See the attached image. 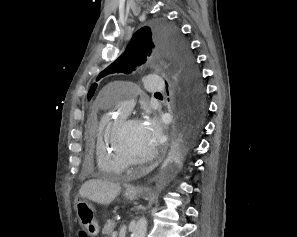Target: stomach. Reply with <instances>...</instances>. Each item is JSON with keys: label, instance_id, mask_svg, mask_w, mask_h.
<instances>
[{"label": "stomach", "instance_id": "0dacf381", "mask_svg": "<svg viewBox=\"0 0 297 237\" xmlns=\"http://www.w3.org/2000/svg\"><path fill=\"white\" fill-rule=\"evenodd\" d=\"M142 194L143 191L139 188H129L124 195L128 200L133 201L141 197ZM75 209L81 227L91 237L96 236L99 233V225L92 204L86 200H80L76 203Z\"/></svg>", "mask_w": 297, "mask_h": 237}]
</instances>
